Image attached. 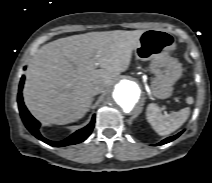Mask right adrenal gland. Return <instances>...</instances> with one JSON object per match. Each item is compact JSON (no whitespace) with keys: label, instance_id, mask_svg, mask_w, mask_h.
Masks as SVG:
<instances>
[{"label":"right adrenal gland","instance_id":"2a0ac1e0","mask_svg":"<svg viewBox=\"0 0 212 183\" xmlns=\"http://www.w3.org/2000/svg\"><path fill=\"white\" fill-rule=\"evenodd\" d=\"M93 100H94V98L91 99V104H92ZM91 104H90V107H91ZM90 107H89V109H90ZM89 109H88V111H89Z\"/></svg>","mask_w":212,"mask_h":183}]
</instances>
